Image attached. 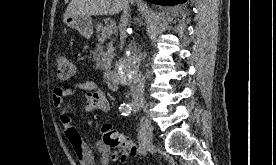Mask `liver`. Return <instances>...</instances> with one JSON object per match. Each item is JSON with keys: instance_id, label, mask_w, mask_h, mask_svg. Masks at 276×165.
I'll return each instance as SVG.
<instances>
[{"instance_id": "1", "label": "liver", "mask_w": 276, "mask_h": 165, "mask_svg": "<svg viewBox=\"0 0 276 165\" xmlns=\"http://www.w3.org/2000/svg\"><path fill=\"white\" fill-rule=\"evenodd\" d=\"M123 5L124 0H71L64 13V20L76 15L118 14L123 9Z\"/></svg>"}]
</instances>
